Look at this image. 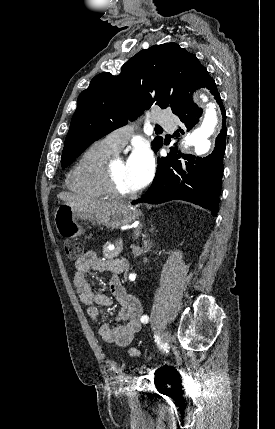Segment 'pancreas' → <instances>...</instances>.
I'll list each match as a JSON object with an SVG mask.
<instances>
[{"label": "pancreas", "instance_id": "pancreas-1", "mask_svg": "<svg viewBox=\"0 0 275 429\" xmlns=\"http://www.w3.org/2000/svg\"><path fill=\"white\" fill-rule=\"evenodd\" d=\"M118 242V241H117ZM117 242H116V246H115V248L113 249V250H109L108 249V246L111 244V243H106L104 246H103V256L105 257V258H108V259H113V258H115V257H117V256H119V254L121 253V251H122V247H120V246H117Z\"/></svg>", "mask_w": 275, "mask_h": 429}]
</instances>
